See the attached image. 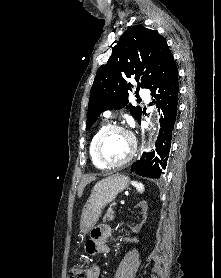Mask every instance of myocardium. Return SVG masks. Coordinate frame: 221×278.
I'll return each instance as SVG.
<instances>
[{
    "instance_id": "myocardium-1",
    "label": "myocardium",
    "mask_w": 221,
    "mask_h": 278,
    "mask_svg": "<svg viewBox=\"0 0 221 278\" xmlns=\"http://www.w3.org/2000/svg\"><path fill=\"white\" fill-rule=\"evenodd\" d=\"M114 131H121V132H124L126 133L130 140H131V151L130 153L128 154V156L120 161V162H117V163H108L107 161H105L102 157V154H101V146H102V143L104 141V139L112 132ZM136 151H137V141H136V138L134 136V134L128 130L126 127L124 126H121V125H117V124H114V125H110L108 127H106L101 133L100 135L98 136L97 140H96V143H95V149H94V152H95V157L97 159V161L104 167V168H108V169H115V168H120V167H123L125 166L126 164H128L135 156L136 154Z\"/></svg>"
}]
</instances>
